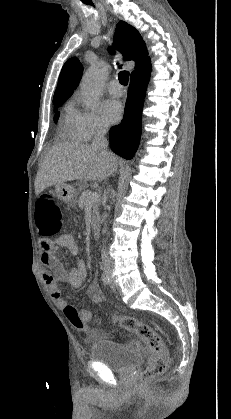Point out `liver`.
Wrapping results in <instances>:
<instances>
[{
	"label": "liver",
	"mask_w": 231,
	"mask_h": 419,
	"mask_svg": "<svg viewBox=\"0 0 231 419\" xmlns=\"http://www.w3.org/2000/svg\"><path fill=\"white\" fill-rule=\"evenodd\" d=\"M117 158H106L88 144L62 142L45 155L35 182V194L73 180L102 182L117 169Z\"/></svg>",
	"instance_id": "liver-1"
}]
</instances>
